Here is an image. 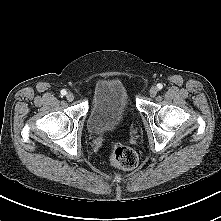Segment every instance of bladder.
Returning <instances> with one entry per match:
<instances>
[{
	"label": "bladder",
	"mask_w": 221,
	"mask_h": 221,
	"mask_svg": "<svg viewBox=\"0 0 221 221\" xmlns=\"http://www.w3.org/2000/svg\"><path fill=\"white\" fill-rule=\"evenodd\" d=\"M133 123L125 88L114 79L101 80L87 119L88 131L104 136Z\"/></svg>",
	"instance_id": "31cf9c89"
}]
</instances>
